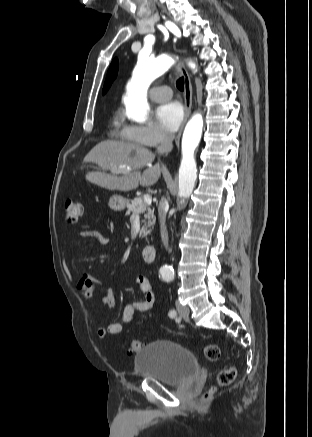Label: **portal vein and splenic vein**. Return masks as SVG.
<instances>
[{
	"label": "portal vein and splenic vein",
	"instance_id": "obj_1",
	"mask_svg": "<svg viewBox=\"0 0 312 437\" xmlns=\"http://www.w3.org/2000/svg\"><path fill=\"white\" fill-rule=\"evenodd\" d=\"M113 170H114V168H113ZM130 169L128 168V171H129ZM144 201L147 203V204H151V202H152V197L149 195V194H146V195H144Z\"/></svg>",
	"mask_w": 312,
	"mask_h": 437
}]
</instances>
